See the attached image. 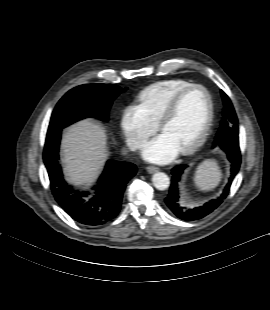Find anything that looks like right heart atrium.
<instances>
[{
    "mask_svg": "<svg viewBox=\"0 0 270 310\" xmlns=\"http://www.w3.org/2000/svg\"><path fill=\"white\" fill-rule=\"evenodd\" d=\"M121 128L130 148H139L155 130L156 125L149 119L140 104H128L121 115Z\"/></svg>",
    "mask_w": 270,
    "mask_h": 310,
    "instance_id": "1",
    "label": "right heart atrium"
}]
</instances>
